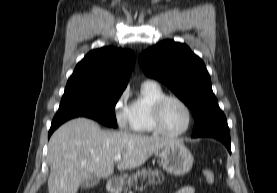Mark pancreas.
Masks as SVG:
<instances>
[{
  "label": "pancreas",
  "mask_w": 277,
  "mask_h": 193,
  "mask_svg": "<svg viewBox=\"0 0 277 193\" xmlns=\"http://www.w3.org/2000/svg\"><path fill=\"white\" fill-rule=\"evenodd\" d=\"M138 178L142 181L147 180L149 184H158L164 180V175L158 169L142 168L138 169L136 173L130 175L124 184V193H127L132 186L136 185Z\"/></svg>",
  "instance_id": "1"
}]
</instances>
